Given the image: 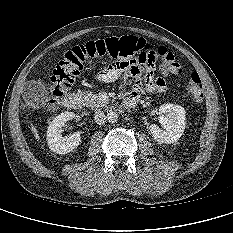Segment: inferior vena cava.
<instances>
[{
    "instance_id": "1",
    "label": "inferior vena cava",
    "mask_w": 233,
    "mask_h": 233,
    "mask_svg": "<svg viewBox=\"0 0 233 233\" xmlns=\"http://www.w3.org/2000/svg\"><path fill=\"white\" fill-rule=\"evenodd\" d=\"M94 118H95V122L99 125L104 124L106 122V115L100 109L95 110Z\"/></svg>"
}]
</instances>
